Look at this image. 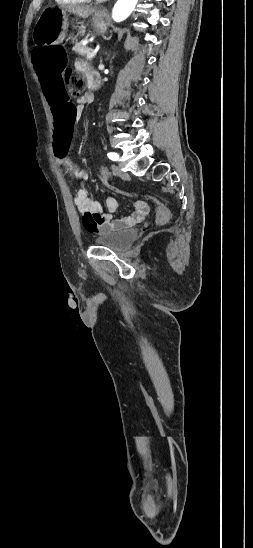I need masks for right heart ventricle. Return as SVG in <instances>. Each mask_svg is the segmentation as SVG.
Listing matches in <instances>:
<instances>
[{
    "label": "right heart ventricle",
    "instance_id": "right-heart-ventricle-1",
    "mask_svg": "<svg viewBox=\"0 0 253 548\" xmlns=\"http://www.w3.org/2000/svg\"><path fill=\"white\" fill-rule=\"evenodd\" d=\"M58 4L61 5H76L88 2L89 0H55Z\"/></svg>",
    "mask_w": 253,
    "mask_h": 548
}]
</instances>
